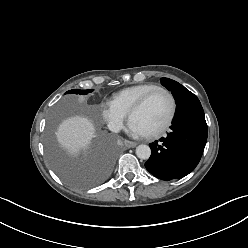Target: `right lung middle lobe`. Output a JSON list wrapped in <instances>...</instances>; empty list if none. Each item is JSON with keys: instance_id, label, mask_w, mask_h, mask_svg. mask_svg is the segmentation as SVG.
<instances>
[{"instance_id": "dd1d6c3e", "label": "right lung middle lobe", "mask_w": 248, "mask_h": 248, "mask_svg": "<svg viewBox=\"0 0 248 248\" xmlns=\"http://www.w3.org/2000/svg\"><path fill=\"white\" fill-rule=\"evenodd\" d=\"M93 89L67 91L86 95ZM48 155L51 164L59 176L66 182L77 187H91L100 183L109 173L114 151L106 142H100L93 155L87 158H72L61 150L50 132L47 139Z\"/></svg>"}]
</instances>
